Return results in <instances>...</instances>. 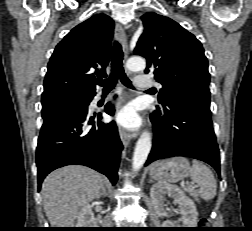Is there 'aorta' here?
Here are the masks:
<instances>
[{
	"mask_svg": "<svg viewBox=\"0 0 252 231\" xmlns=\"http://www.w3.org/2000/svg\"><path fill=\"white\" fill-rule=\"evenodd\" d=\"M126 67L130 71H143L146 68V61L141 57H132L126 62ZM151 146V134L144 131L135 146L132 162L134 171H138L143 166L150 153Z\"/></svg>",
	"mask_w": 252,
	"mask_h": 231,
	"instance_id": "762f6f07",
	"label": "aorta"
}]
</instances>
